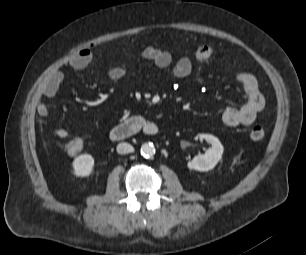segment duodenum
<instances>
[{"instance_id": "1", "label": "duodenum", "mask_w": 306, "mask_h": 255, "mask_svg": "<svg viewBox=\"0 0 306 255\" xmlns=\"http://www.w3.org/2000/svg\"><path fill=\"white\" fill-rule=\"evenodd\" d=\"M139 133L154 136L159 133L158 125L143 116H133L115 125L109 134L112 141H123Z\"/></svg>"}]
</instances>
